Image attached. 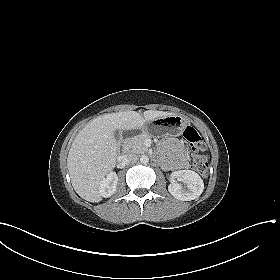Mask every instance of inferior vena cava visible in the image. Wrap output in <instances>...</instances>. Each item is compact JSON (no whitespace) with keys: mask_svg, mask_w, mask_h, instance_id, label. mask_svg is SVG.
Returning a JSON list of instances; mask_svg holds the SVG:
<instances>
[{"mask_svg":"<svg viewBox=\"0 0 280 280\" xmlns=\"http://www.w3.org/2000/svg\"><path fill=\"white\" fill-rule=\"evenodd\" d=\"M138 159V155H136L135 153H126L123 156V162L126 164L135 163L138 161Z\"/></svg>","mask_w":280,"mask_h":280,"instance_id":"602c4592","label":"inferior vena cava"}]
</instances>
